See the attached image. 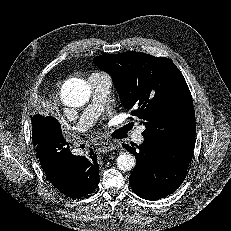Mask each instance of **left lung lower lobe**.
I'll return each mask as SVG.
<instances>
[{
    "mask_svg": "<svg viewBox=\"0 0 231 231\" xmlns=\"http://www.w3.org/2000/svg\"><path fill=\"white\" fill-rule=\"evenodd\" d=\"M136 158L129 177L134 192L146 200H158L174 192L184 181L194 145L175 147L156 138H144L137 148L123 145Z\"/></svg>",
    "mask_w": 231,
    "mask_h": 231,
    "instance_id": "left-lung-lower-lobe-1",
    "label": "left lung lower lobe"
}]
</instances>
